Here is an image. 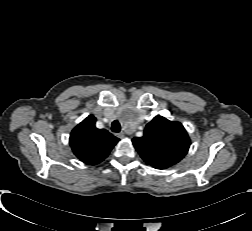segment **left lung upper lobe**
Listing matches in <instances>:
<instances>
[{
    "mask_svg": "<svg viewBox=\"0 0 252 231\" xmlns=\"http://www.w3.org/2000/svg\"><path fill=\"white\" fill-rule=\"evenodd\" d=\"M142 159L157 169L178 163L188 152L189 136L179 122L156 116L146 125L142 137L132 139Z\"/></svg>",
    "mask_w": 252,
    "mask_h": 231,
    "instance_id": "left-lung-upper-lobe-1",
    "label": "left lung upper lobe"
}]
</instances>
